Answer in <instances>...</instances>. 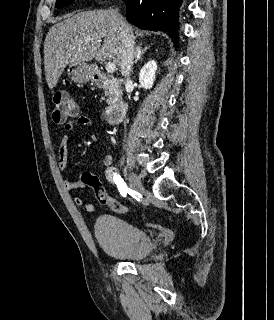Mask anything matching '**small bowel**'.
<instances>
[{
	"label": "small bowel",
	"mask_w": 274,
	"mask_h": 320,
	"mask_svg": "<svg viewBox=\"0 0 274 320\" xmlns=\"http://www.w3.org/2000/svg\"><path fill=\"white\" fill-rule=\"evenodd\" d=\"M90 124H91V120L89 117L84 115H75V117L64 126V133L60 139V143L58 147V168L60 171L66 170L68 166L69 140H70V135L72 131L76 127H86V126H89ZM112 164H113L112 156L107 154L103 159V167L106 172H109L111 170ZM84 173L93 175L89 172H84ZM86 186L88 185L82 182L81 179H79L78 181H70L66 179L64 181V187L68 191L78 190ZM74 202L76 205L82 206L83 210L87 213H92L95 209L92 203H84V199L82 196H75Z\"/></svg>",
	"instance_id": "1"
}]
</instances>
